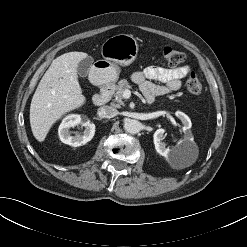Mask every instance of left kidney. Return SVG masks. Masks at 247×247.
Wrapping results in <instances>:
<instances>
[{"instance_id": "5707ae66", "label": "left kidney", "mask_w": 247, "mask_h": 247, "mask_svg": "<svg viewBox=\"0 0 247 247\" xmlns=\"http://www.w3.org/2000/svg\"><path fill=\"white\" fill-rule=\"evenodd\" d=\"M175 115L181 120L183 124V132H184V137L183 140L179 141L177 146L174 148H168L166 147V144L162 142L163 139V134H164V129H157L153 135V142L155 145L156 151L164 156L165 158H168L172 155H174L176 152L179 150L185 148V147H195V142L194 138L192 135V132L190 130L192 123L190 118L183 112L177 111Z\"/></svg>"}]
</instances>
